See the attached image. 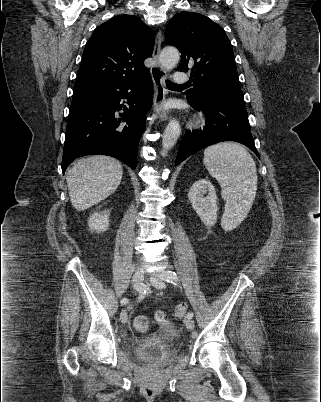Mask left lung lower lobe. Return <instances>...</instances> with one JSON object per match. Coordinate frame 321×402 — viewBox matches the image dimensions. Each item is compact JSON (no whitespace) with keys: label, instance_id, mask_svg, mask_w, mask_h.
<instances>
[{"label":"left lung lower lobe","instance_id":"left-lung-lower-lobe-1","mask_svg":"<svg viewBox=\"0 0 321 402\" xmlns=\"http://www.w3.org/2000/svg\"><path fill=\"white\" fill-rule=\"evenodd\" d=\"M189 102L194 109L205 114L206 127L204 130L185 133L175 165L193 153L222 141L239 142L259 157L241 90H213L207 92L199 101Z\"/></svg>","mask_w":321,"mask_h":402}]
</instances>
